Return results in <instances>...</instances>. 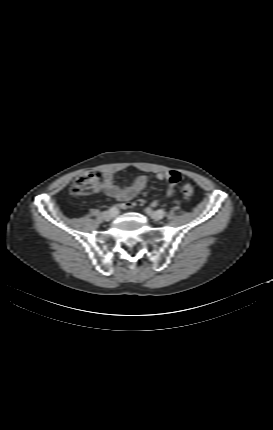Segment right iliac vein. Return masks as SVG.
<instances>
[{
    "mask_svg": "<svg viewBox=\"0 0 273 430\" xmlns=\"http://www.w3.org/2000/svg\"><path fill=\"white\" fill-rule=\"evenodd\" d=\"M116 215H117V212H115L113 210H109V211L104 212V218L106 220H110V219L116 217Z\"/></svg>",
    "mask_w": 273,
    "mask_h": 430,
    "instance_id": "1",
    "label": "right iliac vein"
}]
</instances>
